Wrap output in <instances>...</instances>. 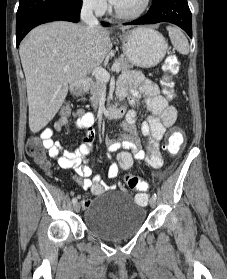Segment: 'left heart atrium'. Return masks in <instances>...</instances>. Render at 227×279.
<instances>
[{
    "instance_id": "left-heart-atrium-1",
    "label": "left heart atrium",
    "mask_w": 227,
    "mask_h": 279,
    "mask_svg": "<svg viewBox=\"0 0 227 279\" xmlns=\"http://www.w3.org/2000/svg\"><path fill=\"white\" fill-rule=\"evenodd\" d=\"M113 5H115L116 4V2L118 1V0H109Z\"/></svg>"
}]
</instances>
